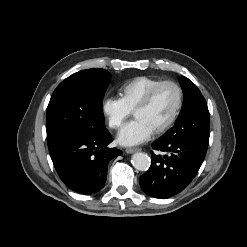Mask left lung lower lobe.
<instances>
[{
    "label": "left lung lower lobe",
    "instance_id": "left-lung-lower-lobe-1",
    "mask_svg": "<svg viewBox=\"0 0 247 247\" xmlns=\"http://www.w3.org/2000/svg\"><path fill=\"white\" fill-rule=\"evenodd\" d=\"M208 144L188 138L162 139L152 148L167 152L162 157L152 154L149 170L140 177V186L147 195L167 198L182 191L195 177L206 155Z\"/></svg>",
    "mask_w": 247,
    "mask_h": 247
}]
</instances>
